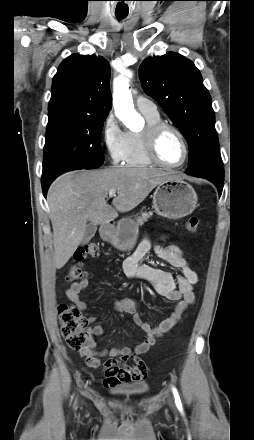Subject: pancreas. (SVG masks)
I'll return each mask as SVG.
<instances>
[{"mask_svg":"<svg viewBox=\"0 0 254 440\" xmlns=\"http://www.w3.org/2000/svg\"><path fill=\"white\" fill-rule=\"evenodd\" d=\"M152 215H153L152 212H141L140 216L136 217V224L138 226L143 225Z\"/></svg>","mask_w":254,"mask_h":440,"instance_id":"pancreas-1","label":"pancreas"}]
</instances>
